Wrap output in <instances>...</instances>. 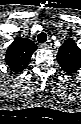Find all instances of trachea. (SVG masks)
<instances>
[{"mask_svg": "<svg viewBox=\"0 0 81 124\" xmlns=\"http://www.w3.org/2000/svg\"><path fill=\"white\" fill-rule=\"evenodd\" d=\"M46 40H47V35L44 32H41L40 34H38L37 41L39 43H44Z\"/></svg>", "mask_w": 81, "mask_h": 124, "instance_id": "3493384b", "label": "trachea"}]
</instances>
